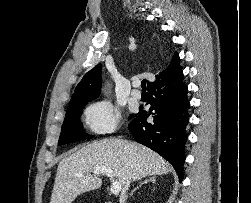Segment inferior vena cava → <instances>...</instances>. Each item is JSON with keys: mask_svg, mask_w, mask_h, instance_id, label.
I'll use <instances>...</instances> for the list:
<instances>
[{"mask_svg": "<svg viewBox=\"0 0 251 203\" xmlns=\"http://www.w3.org/2000/svg\"><path fill=\"white\" fill-rule=\"evenodd\" d=\"M129 186H130V181H127L120 196V203H125V201L127 200V197H128L127 191H128Z\"/></svg>", "mask_w": 251, "mask_h": 203, "instance_id": "602c4592", "label": "inferior vena cava"}]
</instances>
